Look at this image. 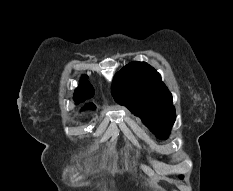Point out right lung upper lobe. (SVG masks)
Returning <instances> with one entry per match:
<instances>
[{"mask_svg": "<svg viewBox=\"0 0 233 191\" xmlns=\"http://www.w3.org/2000/svg\"><path fill=\"white\" fill-rule=\"evenodd\" d=\"M88 77L84 76L80 80L79 87L75 90L74 100L75 102H82L86 99L91 98L94 95V89L91 84L87 81ZM95 106L93 103L86 104L84 109L91 108L93 109Z\"/></svg>", "mask_w": 233, "mask_h": 191, "instance_id": "right-lung-upper-lobe-1", "label": "right lung upper lobe"}]
</instances>
